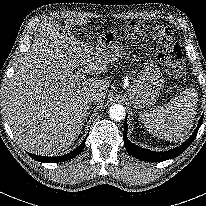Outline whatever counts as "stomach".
I'll return each mask as SVG.
<instances>
[{"label":"stomach","mask_w":206,"mask_h":206,"mask_svg":"<svg viewBox=\"0 0 206 206\" xmlns=\"http://www.w3.org/2000/svg\"><path fill=\"white\" fill-rule=\"evenodd\" d=\"M97 46L106 52L111 61L120 57L124 50L121 37L115 29L104 31L98 39ZM163 84L164 77L157 64L146 59L126 94L134 108L140 109L143 113L145 108L155 104Z\"/></svg>","instance_id":"stomach-1"}]
</instances>
